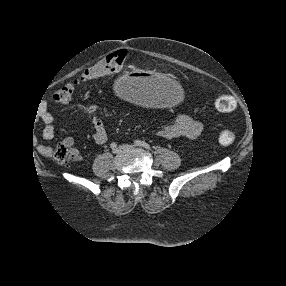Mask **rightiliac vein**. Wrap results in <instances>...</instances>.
Here are the masks:
<instances>
[{
    "label": "right iliac vein",
    "mask_w": 286,
    "mask_h": 286,
    "mask_svg": "<svg viewBox=\"0 0 286 286\" xmlns=\"http://www.w3.org/2000/svg\"><path fill=\"white\" fill-rule=\"evenodd\" d=\"M112 152H113L114 154H118V153L120 152V150H119L118 148H114V149L112 150Z\"/></svg>",
    "instance_id": "63e3f726"
}]
</instances>
